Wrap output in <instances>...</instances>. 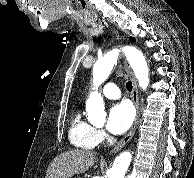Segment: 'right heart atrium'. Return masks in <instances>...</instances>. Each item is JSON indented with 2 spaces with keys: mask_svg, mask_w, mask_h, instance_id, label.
<instances>
[{
  "mask_svg": "<svg viewBox=\"0 0 194 178\" xmlns=\"http://www.w3.org/2000/svg\"><path fill=\"white\" fill-rule=\"evenodd\" d=\"M94 140L97 144L108 140V135L103 129H94Z\"/></svg>",
  "mask_w": 194,
  "mask_h": 178,
  "instance_id": "d8ad5b80",
  "label": "right heart atrium"
}]
</instances>
